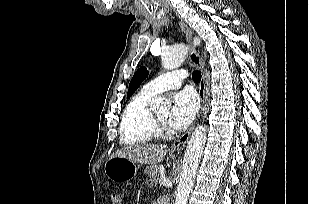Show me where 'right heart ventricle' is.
Wrapping results in <instances>:
<instances>
[{"label": "right heart ventricle", "mask_w": 309, "mask_h": 204, "mask_svg": "<svg viewBox=\"0 0 309 204\" xmlns=\"http://www.w3.org/2000/svg\"><path fill=\"white\" fill-rule=\"evenodd\" d=\"M153 97L142 90L127 103L120 123L122 144L133 145L150 142L158 136V129L153 121L149 102Z\"/></svg>", "instance_id": "right-heart-ventricle-1"}]
</instances>
